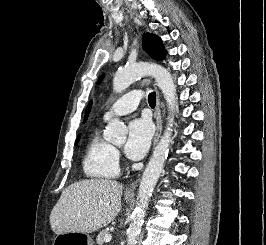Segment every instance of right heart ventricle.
Returning a JSON list of instances; mask_svg holds the SVG:
<instances>
[{"label": "right heart ventricle", "instance_id": "e07e8e85", "mask_svg": "<svg viewBox=\"0 0 266 245\" xmlns=\"http://www.w3.org/2000/svg\"><path fill=\"white\" fill-rule=\"evenodd\" d=\"M82 166L85 176L96 181H112L120 175L116 152L100 137L98 129L88 137Z\"/></svg>", "mask_w": 266, "mask_h": 245}]
</instances>
